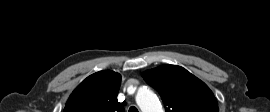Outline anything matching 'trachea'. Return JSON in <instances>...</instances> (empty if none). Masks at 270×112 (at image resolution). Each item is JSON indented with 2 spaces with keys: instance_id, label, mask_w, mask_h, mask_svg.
<instances>
[{
  "instance_id": "trachea-1",
  "label": "trachea",
  "mask_w": 270,
  "mask_h": 112,
  "mask_svg": "<svg viewBox=\"0 0 270 112\" xmlns=\"http://www.w3.org/2000/svg\"><path fill=\"white\" fill-rule=\"evenodd\" d=\"M128 112H139L135 106H131Z\"/></svg>"
}]
</instances>
